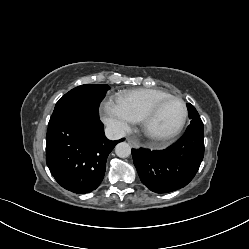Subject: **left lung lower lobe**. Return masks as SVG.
<instances>
[{
    "instance_id": "left-lung-lower-lobe-1",
    "label": "left lung lower lobe",
    "mask_w": 249,
    "mask_h": 249,
    "mask_svg": "<svg viewBox=\"0 0 249 249\" xmlns=\"http://www.w3.org/2000/svg\"><path fill=\"white\" fill-rule=\"evenodd\" d=\"M134 165L142 183L156 193L186 186L204 156V126L189 125L184 135L164 150L132 149Z\"/></svg>"
}]
</instances>
